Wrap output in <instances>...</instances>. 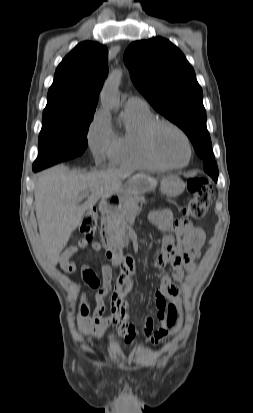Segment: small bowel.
I'll list each match as a JSON object with an SVG mask.
<instances>
[{
    "instance_id": "1",
    "label": "small bowel",
    "mask_w": 253,
    "mask_h": 413,
    "mask_svg": "<svg viewBox=\"0 0 253 413\" xmlns=\"http://www.w3.org/2000/svg\"><path fill=\"white\" fill-rule=\"evenodd\" d=\"M149 220L164 233L160 252L154 260V266L157 269L165 270L155 291V302L160 313H162L166 306V297L176 296L179 292L174 282H182L187 273L194 271L196 267L194 260L201 253L205 241V232L201 227L192 226L185 219H175L170 209L150 212ZM170 232H173L174 236L170 235ZM89 247L95 252L102 250V245L99 242L95 241L90 244L85 240H81L76 246L68 248L61 255L60 266L62 270L66 273L76 271L77 264L73 260V256L80 251L87 250ZM105 255L111 265L120 271L111 294V314L104 316L103 297L112 287L111 266L104 264L101 267L102 285L96 296L94 313L92 317H78L77 326L82 335L92 340H100L115 326L117 333L124 338L127 344L131 345L136 341L137 332L134 324L130 322L129 306L125 296L134 284L133 260L130 257L112 256L108 251ZM81 272L84 281L89 286L97 287L99 285V279L89 265H83ZM142 333L151 342L159 340L155 335L151 337L152 321L150 318L145 320Z\"/></svg>"
}]
</instances>
